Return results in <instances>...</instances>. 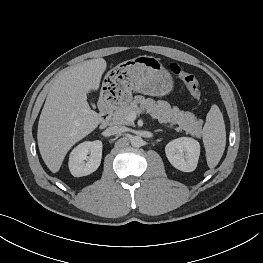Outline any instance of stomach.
<instances>
[{"label": "stomach", "mask_w": 263, "mask_h": 263, "mask_svg": "<svg viewBox=\"0 0 263 263\" xmlns=\"http://www.w3.org/2000/svg\"><path fill=\"white\" fill-rule=\"evenodd\" d=\"M173 88V79L158 58L138 56L124 61L105 76L101 95L113 97L120 104L130 102L132 91L150 96H164Z\"/></svg>", "instance_id": "0dacf381"}]
</instances>
